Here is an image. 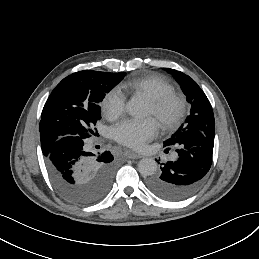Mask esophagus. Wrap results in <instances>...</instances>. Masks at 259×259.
<instances>
[{
    "instance_id": "1",
    "label": "esophagus",
    "mask_w": 259,
    "mask_h": 259,
    "mask_svg": "<svg viewBox=\"0 0 259 259\" xmlns=\"http://www.w3.org/2000/svg\"><path fill=\"white\" fill-rule=\"evenodd\" d=\"M127 157L130 158V159H139V158H141L142 156L139 155V154H137V153H135V152H133V151H131V150H129V151L127 152Z\"/></svg>"
}]
</instances>
